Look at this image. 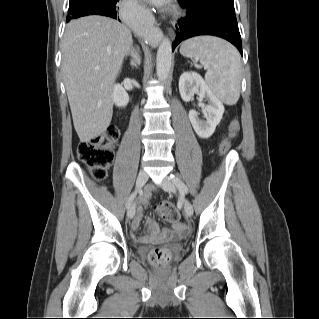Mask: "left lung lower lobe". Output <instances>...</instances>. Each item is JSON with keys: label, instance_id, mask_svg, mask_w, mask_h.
<instances>
[{"label": "left lung lower lobe", "instance_id": "left-lung-lower-lobe-1", "mask_svg": "<svg viewBox=\"0 0 319 319\" xmlns=\"http://www.w3.org/2000/svg\"><path fill=\"white\" fill-rule=\"evenodd\" d=\"M180 6L187 9V16L176 24V39L172 50L183 40L199 35H213L228 40L238 48L242 55L241 36L235 14L198 5L195 2H182Z\"/></svg>", "mask_w": 319, "mask_h": 319}]
</instances>
